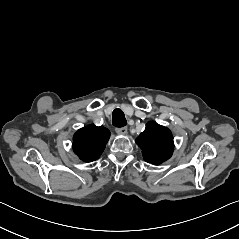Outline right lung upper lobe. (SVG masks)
I'll return each instance as SVG.
<instances>
[{
	"mask_svg": "<svg viewBox=\"0 0 239 239\" xmlns=\"http://www.w3.org/2000/svg\"><path fill=\"white\" fill-rule=\"evenodd\" d=\"M109 138L107 128L88 125L74 134L73 150L84 162H92L100 157Z\"/></svg>",
	"mask_w": 239,
	"mask_h": 239,
	"instance_id": "right-lung-upper-lobe-1",
	"label": "right lung upper lobe"
}]
</instances>
